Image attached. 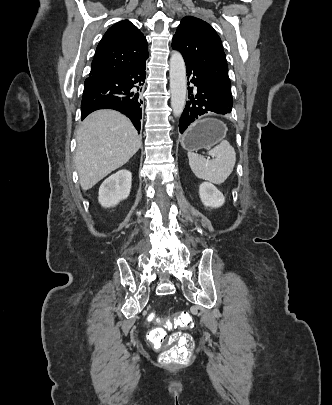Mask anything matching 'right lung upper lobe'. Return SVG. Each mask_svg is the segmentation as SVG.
Masks as SVG:
<instances>
[{
    "mask_svg": "<svg viewBox=\"0 0 332 405\" xmlns=\"http://www.w3.org/2000/svg\"><path fill=\"white\" fill-rule=\"evenodd\" d=\"M148 58L147 41L128 20L111 26L99 42L89 75L134 67Z\"/></svg>",
    "mask_w": 332,
    "mask_h": 405,
    "instance_id": "1",
    "label": "right lung upper lobe"
}]
</instances>
